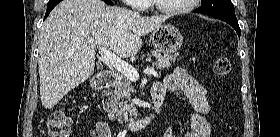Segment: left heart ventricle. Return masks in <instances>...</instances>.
<instances>
[{"mask_svg": "<svg viewBox=\"0 0 280 137\" xmlns=\"http://www.w3.org/2000/svg\"><path fill=\"white\" fill-rule=\"evenodd\" d=\"M158 2L168 8L179 7L186 4V0H158Z\"/></svg>", "mask_w": 280, "mask_h": 137, "instance_id": "left-heart-ventricle-1", "label": "left heart ventricle"}]
</instances>
